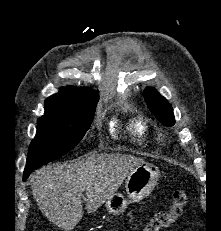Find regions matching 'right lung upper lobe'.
Instances as JSON below:
<instances>
[{"label": "right lung upper lobe", "mask_w": 221, "mask_h": 231, "mask_svg": "<svg viewBox=\"0 0 221 231\" xmlns=\"http://www.w3.org/2000/svg\"><path fill=\"white\" fill-rule=\"evenodd\" d=\"M99 94L89 88L73 86L61 88L60 92L45 100V112H76L97 105Z\"/></svg>", "instance_id": "cb5924a9"}]
</instances>
